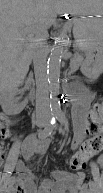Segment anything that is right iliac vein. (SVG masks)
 Segmentation results:
<instances>
[{
	"label": "right iliac vein",
	"mask_w": 103,
	"mask_h": 193,
	"mask_svg": "<svg viewBox=\"0 0 103 193\" xmlns=\"http://www.w3.org/2000/svg\"><path fill=\"white\" fill-rule=\"evenodd\" d=\"M45 125H46V123L43 122V121L38 122V126H39V127H44Z\"/></svg>",
	"instance_id": "right-iliac-vein-1"
}]
</instances>
